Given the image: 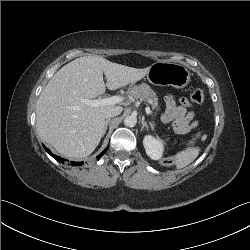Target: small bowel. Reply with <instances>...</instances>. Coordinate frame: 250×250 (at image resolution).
Listing matches in <instances>:
<instances>
[{"label": "small bowel", "instance_id": "small-bowel-1", "mask_svg": "<svg viewBox=\"0 0 250 250\" xmlns=\"http://www.w3.org/2000/svg\"><path fill=\"white\" fill-rule=\"evenodd\" d=\"M165 110L161 114V120L164 123H170L175 132L178 134H186L197 126L195 115L190 110V104L187 99H175L168 95L165 97Z\"/></svg>", "mask_w": 250, "mask_h": 250}]
</instances>
